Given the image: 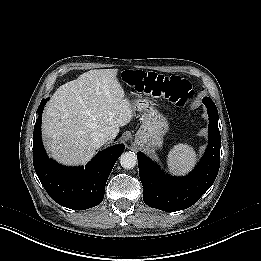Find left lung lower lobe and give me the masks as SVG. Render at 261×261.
I'll list each match as a JSON object with an SVG mask.
<instances>
[{"instance_id": "0a47b994", "label": "left lung lower lobe", "mask_w": 261, "mask_h": 261, "mask_svg": "<svg viewBox=\"0 0 261 261\" xmlns=\"http://www.w3.org/2000/svg\"><path fill=\"white\" fill-rule=\"evenodd\" d=\"M209 114L208 147L200 163L188 176H165L157 164L138 152L143 200L153 208L178 211L195 204L213 184L220 165L221 138L218 128V111L209 97L203 99Z\"/></svg>"}]
</instances>
